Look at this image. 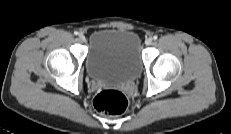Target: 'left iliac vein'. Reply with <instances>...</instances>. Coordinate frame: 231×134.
Listing matches in <instances>:
<instances>
[{
  "mask_svg": "<svg viewBox=\"0 0 231 134\" xmlns=\"http://www.w3.org/2000/svg\"><path fill=\"white\" fill-rule=\"evenodd\" d=\"M152 42H153L152 38H147L146 41H145L146 45H151Z\"/></svg>",
  "mask_w": 231,
  "mask_h": 134,
  "instance_id": "obj_1",
  "label": "left iliac vein"
}]
</instances>
